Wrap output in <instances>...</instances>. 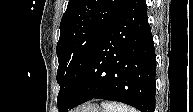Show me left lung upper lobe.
<instances>
[{
    "label": "left lung upper lobe",
    "mask_w": 193,
    "mask_h": 112,
    "mask_svg": "<svg viewBox=\"0 0 193 112\" xmlns=\"http://www.w3.org/2000/svg\"><path fill=\"white\" fill-rule=\"evenodd\" d=\"M132 0H69L60 23L58 108L68 99L97 43Z\"/></svg>",
    "instance_id": "left-lung-upper-lobe-1"
}]
</instances>
